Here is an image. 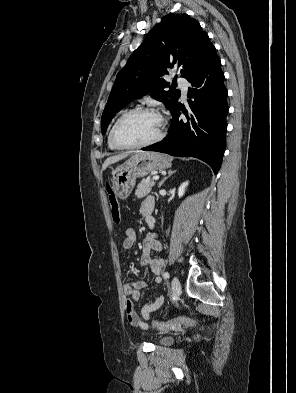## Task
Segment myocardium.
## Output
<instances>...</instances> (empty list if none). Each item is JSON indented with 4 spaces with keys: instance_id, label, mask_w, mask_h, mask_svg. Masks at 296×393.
<instances>
[{
    "instance_id": "myocardium-1",
    "label": "myocardium",
    "mask_w": 296,
    "mask_h": 393,
    "mask_svg": "<svg viewBox=\"0 0 296 393\" xmlns=\"http://www.w3.org/2000/svg\"><path fill=\"white\" fill-rule=\"evenodd\" d=\"M139 113H153V114L158 115L161 119V127H160L159 132L157 133V135L154 138H152L146 142H143V143L131 144V145L122 143L118 138L119 127L126 119H128L129 117H131L135 114H139ZM165 128H166V121L157 110H155L153 108H149V107H137V108H134V109H131V110L125 112L116 120V122L113 125L112 131H111V140H112V143L119 149L133 150V149L144 148V147H147V146H150V145H153V144L159 142L165 135Z\"/></svg>"
}]
</instances>
